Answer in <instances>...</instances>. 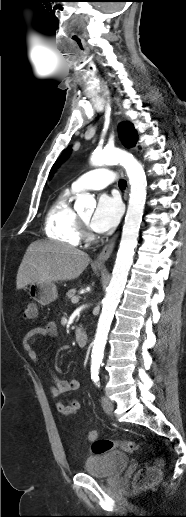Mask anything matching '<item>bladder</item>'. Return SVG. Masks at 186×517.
Masks as SVG:
<instances>
[{
    "mask_svg": "<svg viewBox=\"0 0 186 517\" xmlns=\"http://www.w3.org/2000/svg\"><path fill=\"white\" fill-rule=\"evenodd\" d=\"M130 463V456L122 452H106L89 458L85 473L96 478H112L120 475Z\"/></svg>",
    "mask_w": 186,
    "mask_h": 517,
    "instance_id": "1",
    "label": "bladder"
}]
</instances>
